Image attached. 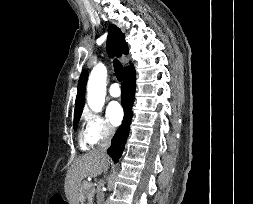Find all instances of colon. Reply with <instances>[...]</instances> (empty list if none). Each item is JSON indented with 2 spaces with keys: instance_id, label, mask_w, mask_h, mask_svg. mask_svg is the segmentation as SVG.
Segmentation results:
<instances>
[{
  "instance_id": "colon-1",
  "label": "colon",
  "mask_w": 253,
  "mask_h": 204,
  "mask_svg": "<svg viewBox=\"0 0 253 204\" xmlns=\"http://www.w3.org/2000/svg\"><path fill=\"white\" fill-rule=\"evenodd\" d=\"M50 204H63V201L59 197H52L50 200Z\"/></svg>"
}]
</instances>
